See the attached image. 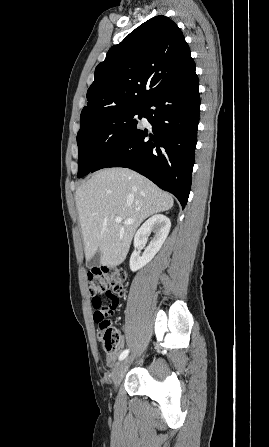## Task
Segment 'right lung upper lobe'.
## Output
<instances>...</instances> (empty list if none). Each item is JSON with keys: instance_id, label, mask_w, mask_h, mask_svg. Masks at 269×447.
<instances>
[{"instance_id": "cb5924a9", "label": "right lung upper lobe", "mask_w": 269, "mask_h": 447, "mask_svg": "<svg viewBox=\"0 0 269 447\" xmlns=\"http://www.w3.org/2000/svg\"><path fill=\"white\" fill-rule=\"evenodd\" d=\"M191 62L190 48L179 27L165 16L149 19L113 46L96 67L80 125L118 108L144 104Z\"/></svg>"}]
</instances>
